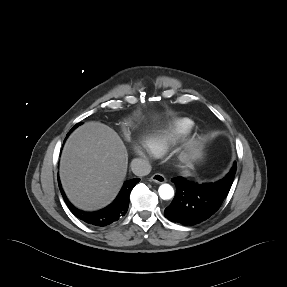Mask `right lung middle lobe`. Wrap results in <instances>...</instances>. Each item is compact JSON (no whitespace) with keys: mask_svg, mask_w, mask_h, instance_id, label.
<instances>
[{"mask_svg":"<svg viewBox=\"0 0 287 287\" xmlns=\"http://www.w3.org/2000/svg\"><path fill=\"white\" fill-rule=\"evenodd\" d=\"M81 123H78V124H76L72 129H71V131L74 129V128H76L78 125H80Z\"/></svg>","mask_w":287,"mask_h":287,"instance_id":"1","label":"right lung middle lobe"}]
</instances>
